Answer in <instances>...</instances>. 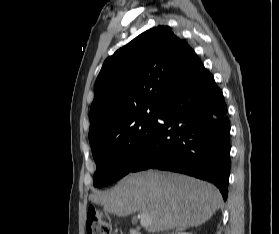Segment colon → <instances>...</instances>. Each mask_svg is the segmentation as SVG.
<instances>
[{
	"mask_svg": "<svg viewBox=\"0 0 279 234\" xmlns=\"http://www.w3.org/2000/svg\"><path fill=\"white\" fill-rule=\"evenodd\" d=\"M87 234H110L111 220L106 212L90 209L86 222Z\"/></svg>",
	"mask_w": 279,
	"mask_h": 234,
	"instance_id": "1",
	"label": "colon"
}]
</instances>
